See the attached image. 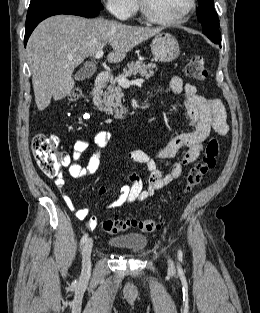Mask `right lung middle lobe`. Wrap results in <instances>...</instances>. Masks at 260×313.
Wrapping results in <instances>:
<instances>
[{"label": "right lung middle lobe", "mask_w": 260, "mask_h": 313, "mask_svg": "<svg viewBox=\"0 0 260 313\" xmlns=\"http://www.w3.org/2000/svg\"><path fill=\"white\" fill-rule=\"evenodd\" d=\"M44 1H58V2H69V3H76V4H83L93 8L103 9V5L101 4L100 0H31L30 3H38Z\"/></svg>", "instance_id": "right-lung-middle-lobe-1"}]
</instances>
